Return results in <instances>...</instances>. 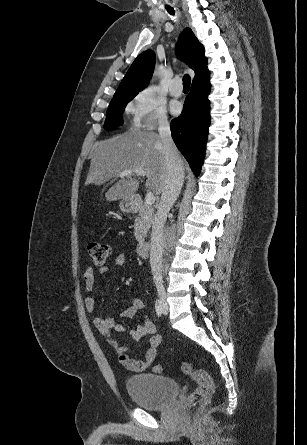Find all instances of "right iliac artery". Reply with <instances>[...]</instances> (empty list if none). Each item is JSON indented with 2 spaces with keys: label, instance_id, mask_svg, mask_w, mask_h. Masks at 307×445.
Returning <instances> with one entry per match:
<instances>
[{
  "label": "right iliac artery",
  "instance_id": "obj_1",
  "mask_svg": "<svg viewBox=\"0 0 307 445\" xmlns=\"http://www.w3.org/2000/svg\"><path fill=\"white\" fill-rule=\"evenodd\" d=\"M155 310H156V313H157L158 316L162 315V313H163V304H162V301L160 299L156 300Z\"/></svg>",
  "mask_w": 307,
  "mask_h": 445
}]
</instances>
